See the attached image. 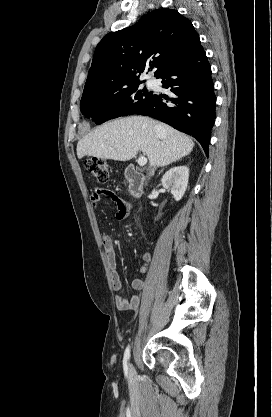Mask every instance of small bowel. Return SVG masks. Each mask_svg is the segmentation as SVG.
<instances>
[{
    "label": "small bowel",
    "instance_id": "small-bowel-1",
    "mask_svg": "<svg viewBox=\"0 0 272 417\" xmlns=\"http://www.w3.org/2000/svg\"><path fill=\"white\" fill-rule=\"evenodd\" d=\"M102 196H106L116 203V212H115L116 219L123 220L127 217L131 209V205L125 200H123L122 198H120L116 193H114L111 190L99 188V187L95 188L90 197L92 204L96 206L100 202ZM102 244H103V248L107 257L108 265L111 268L112 287L115 291H120L122 288V282H121L120 275L116 269L117 259H116V252H115L113 240L111 239L110 236L103 235ZM149 261H150L149 254H145L144 265L140 269L142 274L146 272ZM132 287L133 289L137 291V293L131 296L129 299L121 295H116L115 304L119 310H123V311L132 310V309L137 308L140 305L141 300H142L143 289L145 287L144 276L142 275L141 277L134 279L132 281Z\"/></svg>",
    "mask_w": 272,
    "mask_h": 417
}]
</instances>
